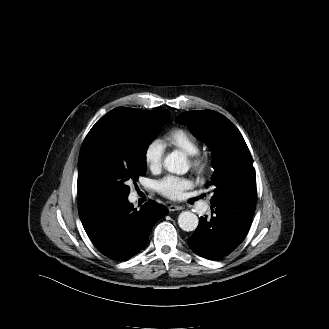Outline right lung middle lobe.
I'll return each instance as SVG.
<instances>
[{"label": "right lung middle lobe", "instance_id": "right-lung-middle-lobe-1", "mask_svg": "<svg viewBox=\"0 0 329 329\" xmlns=\"http://www.w3.org/2000/svg\"><path fill=\"white\" fill-rule=\"evenodd\" d=\"M168 117L165 110L141 122L121 107L102 117L92 128L94 137L80 151V205L100 196L128 197V184L145 175L148 145Z\"/></svg>", "mask_w": 329, "mask_h": 329}]
</instances>
